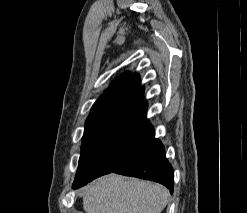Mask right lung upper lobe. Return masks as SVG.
Instances as JSON below:
<instances>
[{
    "label": "right lung upper lobe",
    "instance_id": "obj_1",
    "mask_svg": "<svg viewBox=\"0 0 247 213\" xmlns=\"http://www.w3.org/2000/svg\"><path fill=\"white\" fill-rule=\"evenodd\" d=\"M144 88L140 86L138 75L124 73L115 78L104 94L95 102L86 122L120 108H133L144 102Z\"/></svg>",
    "mask_w": 247,
    "mask_h": 213
}]
</instances>
